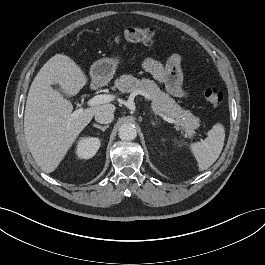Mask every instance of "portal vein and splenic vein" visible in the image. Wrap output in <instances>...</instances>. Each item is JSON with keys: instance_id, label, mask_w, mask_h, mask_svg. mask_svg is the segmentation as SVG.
Here are the masks:
<instances>
[{"instance_id": "obj_1", "label": "portal vein and splenic vein", "mask_w": 265, "mask_h": 265, "mask_svg": "<svg viewBox=\"0 0 265 265\" xmlns=\"http://www.w3.org/2000/svg\"><path fill=\"white\" fill-rule=\"evenodd\" d=\"M115 99V96L112 94H100L97 96H94L93 98L89 99L87 104L88 106H95L103 103L111 102ZM82 109H79L75 115H78ZM160 116L169 123H176V120L173 118H170L162 113H160Z\"/></svg>"}]
</instances>
